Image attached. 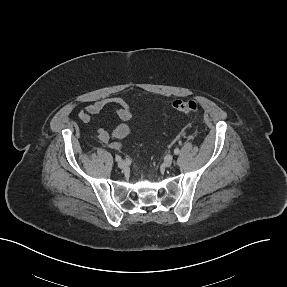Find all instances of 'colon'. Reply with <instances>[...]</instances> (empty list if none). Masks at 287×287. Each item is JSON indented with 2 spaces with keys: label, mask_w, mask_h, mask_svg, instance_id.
<instances>
[{
  "label": "colon",
  "mask_w": 287,
  "mask_h": 287,
  "mask_svg": "<svg viewBox=\"0 0 287 287\" xmlns=\"http://www.w3.org/2000/svg\"><path fill=\"white\" fill-rule=\"evenodd\" d=\"M174 109L185 115L196 114L199 112L200 107L198 103L191 99H178L173 102Z\"/></svg>",
  "instance_id": "5ec220e1"
}]
</instances>
